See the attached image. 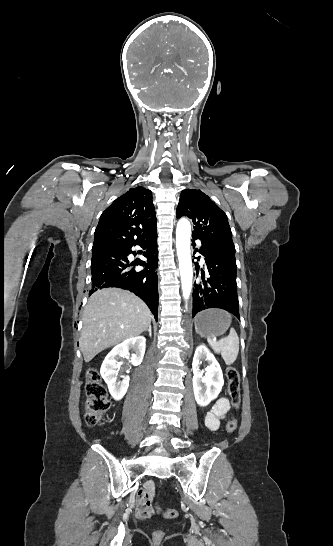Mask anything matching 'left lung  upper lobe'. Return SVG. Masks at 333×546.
<instances>
[{"label":"left lung upper lobe","mask_w":333,"mask_h":546,"mask_svg":"<svg viewBox=\"0 0 333 546\" xmlns=\"http://www.w3.org/2000/svg\"><path fill=\"white\" fill-rule=\"evenodd\" d=\"M188 217L194 224L193 235L226 249L235 255L231 229L226 214L200 190L186 189L181 192L177 218ZM217 272L228 271V264L217 265Z\"/></svg>","instance_id":"1"}]
</instances>
